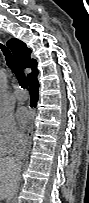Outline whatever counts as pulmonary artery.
Segmentation results:
<instances>
[{
    "label": "pulmonary artery",
    "mask_w": 89,
    "mask_h": 203,
    "mask_svg": "<svg viewBox=\"0 0 89 203\" xmlns=\"http://www.w3.org/2000/svg\"><path fill=\"white\" fill-rule=\"evenodd\" d=\"M14 96L19 101H24V100H26L28 98V94L22 89H17L14 92Z\"/></svg>",
    "instance_id": "pulmonary-artery-1"
}]
</instances>
